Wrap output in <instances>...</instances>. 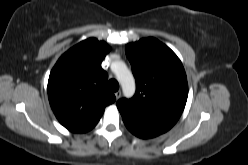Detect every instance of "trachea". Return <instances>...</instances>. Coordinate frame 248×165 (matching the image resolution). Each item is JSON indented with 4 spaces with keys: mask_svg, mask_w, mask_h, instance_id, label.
Returning <instances> with one entry per match:
<instances>
[{
    "mask_svg": "<svg viewBox=\"0 0 248 165\" xmlns=\"http://www.w3.org/2000/svg\"><path fill=\"white\" fill-rule=\"evenodd\" d=\"M108 88L113 91L116 92L119 89V83L115 80V79H111L108 82Z\"/></svg>",
    "mask_w": 248,
    "mask_h": 165,
    "instance_id": "3493384b",
    "label": "trachea"
}]
</instances>
